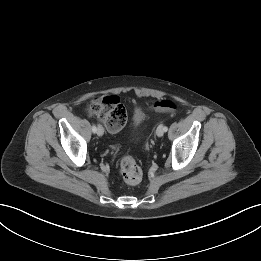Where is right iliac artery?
Listing matches in <instances>:
<instances>
[{
	"label": "right iliac artery",
	"mask_w": 261,
	"mask_h": 261,
	"mask_svg": "<svg viewBox=\"0 0 261 261\" xmlns=\"http://www.w3.org/2000/svg\"><path fill=\"white\" fill-rule=\"evenodd\" d=\"M92 132L93 133H96L97 132V128H96V126L93 124V126H92Z\"/></svg>",
	"instance_id": "1"
}]
</instances>
